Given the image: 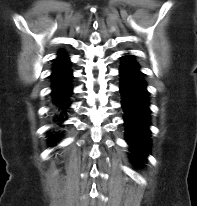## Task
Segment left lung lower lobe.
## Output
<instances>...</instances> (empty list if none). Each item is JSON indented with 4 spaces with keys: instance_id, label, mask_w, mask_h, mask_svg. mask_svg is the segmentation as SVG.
<instances>
[{
    "instance_id": "1",
    "label": "left lung lower lobe",
    "mask_w": 197,
    "mask_h": 206,
    "mask_svg": "<svg viewBox=\"0 0 197 206\" xmlns=\"http://www.w3.org/2000/svg\"><path fill=\"white\" fill-rule=\"evenodd\" d=\"M121 104L124 110L126 141L131 147L134 163L140 164L150 149L149 99L146 83L134 56L122 57L119 69Z\"/></svg>"
}]
</instances>
